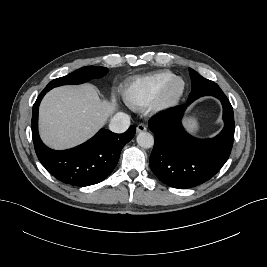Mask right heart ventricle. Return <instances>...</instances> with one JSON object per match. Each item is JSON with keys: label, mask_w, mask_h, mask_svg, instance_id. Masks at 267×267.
Returning a JSON list of instances; mask_svg holds the SVG:
<instances>
[{"label": "right heart ventricle", "mask_w": 267, "mask_h": 267, "mask_svg": "<svg viewBox=\"0 0 267 267\" xmlns=\"http://www.w3.org/2000/svg\"><path fill=\"white\" fill-rule=\"evenodd\" d=\"M175 74L168 70L139 76L130 82L122 92L125 103L134 109L152 104L164 84Z\"/></svg>", "instance_id": "obj_1"}]
</instances>
